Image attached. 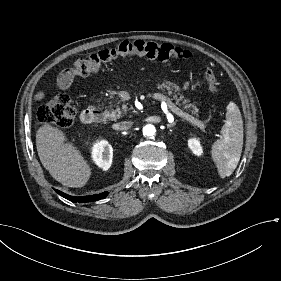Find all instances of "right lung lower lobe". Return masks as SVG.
I'll return each mask as SVG.
<instances>
[{"label":"right lung lower lobe","instance_id":"98d812e1","mask_svg":"<svg viewBox=\"0 0 281 281\" xmlns=\"http://www.w3.org/2000/svg\"><path fill=\"white\" fill-rule=\"evenodd\" d=\"M56 192L61 195L62 197L72 201V202H91V201H97L100 200L102 198H105L108 195V192H103L97 195H90V196H80V197H75V196H70L67 195L59 190H56Z\"/></svg>","mask_w":281,"mask_h":281}]
</instances>
